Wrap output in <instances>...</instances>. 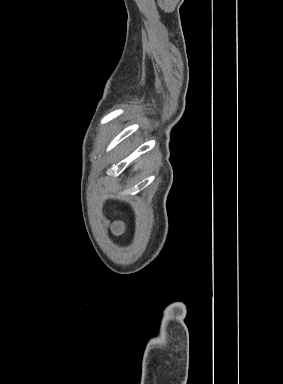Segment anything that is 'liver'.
I'll list each match as a JSON object with an SVG mask.
<instances>
[{
	"mask_svg": "<svg viewBox=\"0 0 283 384\" xmlns=\"http://www.w3.org/2000/svg\"><path fill=\"white\" fill-rule=\"evenodd\" d=\"M138 168H140V164H136V166H134V170H138Z\"/></svg>",
	"mask_w": 283,
	"mask_h": 384,
	"instance_id": "obj_1",
	"label": "liver"
}]
</instances>
